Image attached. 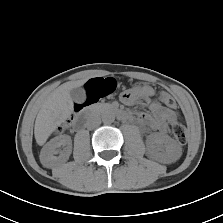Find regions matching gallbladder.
Wrapping results in <instances>:
<instances>
[{
  "label": "gallbladder",
  "mask_w": 223,
  "mask_h": 223,
  "mask_svg": "<svg viewBox=\"0 0 223 223\" xmlns=\"http://www.w3.org/2000/svg\"><path fill=\"white\" fill-rule=\"evenodd\" d=\"M70 95L71 98L75 101V102H83L86 98V92L83 88L81 87H76L73 88L70 91Z\"/></svg>",
  "instance_id": "bac80fb5"
}]
</instances>
